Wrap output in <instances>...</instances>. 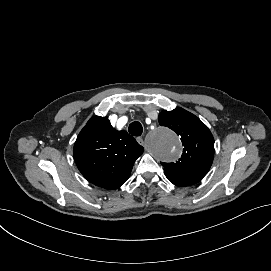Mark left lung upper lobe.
Instances as JSON below:
<instances>
[{
	"instance_id": "left-lung-upper-lobe-1",
	"label": "left lung upper lobe",
	"mask_w": 271,
	"mask_h": 271,
	"mask_svg": "<svg viewBox=\"0 0 271 271\" xmlns=\"http://www.w3.org/2000/svg\"><path fill=\"white\" fill-rule=\"evenodd\" d=\"M159 124L181 136L184 146L181 158L175 163H161L167 179L176 186L198 183L209 171L214 157V138L203 122L192 113L178 107L163 110Z\"/></svg>"
}]
</instances>
